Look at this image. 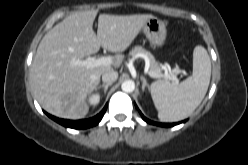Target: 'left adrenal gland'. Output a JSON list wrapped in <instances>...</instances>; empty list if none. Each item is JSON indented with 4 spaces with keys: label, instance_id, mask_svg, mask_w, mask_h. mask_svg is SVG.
<instances>
[{
    "label": "left adrenal gland",
    "instance_id": "left-adrenal-gland-1",
    "mask_svg": "<svg viewBox=\"0 0 248 165\" xmlns=\"http://www.w3.org/2000/svg\"><path fill=\"white\" fill-rule=\"evenodd\" d=\"M141 81H142V91H144L145 87L148 88L149 86H148L146 79L143 76H141Z\"/></svg>",
    "mask_w": 248,
    "mask_h": 165
}]
</instances>
